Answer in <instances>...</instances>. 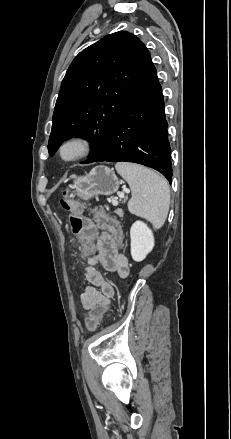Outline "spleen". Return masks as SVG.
<instances>
[{
    "label": "spleen",
    "instance_id": "3e777b00",
    "mask_svg": "<svg viewBox=\"0 0 231 439\" xmlns=\"http://www.w3.org/2000/svg\"><path fill=\"white\" fill-rule=\"evenodd\" d=\"M117 172L127 181L132 191L128 202L130 213L146 218L160 228L168 215L170 189L167 181L143 166L120 162L115 165Z\"/></svg>",
    "mask_w": 231,
    "mask_h": 439
}]
</instances>
